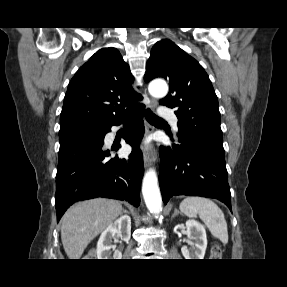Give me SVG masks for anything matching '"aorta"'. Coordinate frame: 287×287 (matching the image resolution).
Wrapping results in <instances>:
<instances>
[{"label":"aorta","mask_w":287,"mask_h":287,"mask_svg":"<svg viewBox=\"0 0 287 287\" xmlns=\"http://www.w3.org/2000/svg\"><path fill=\"white\" fill-rule=\"evenodd\" d=\"M149 93L156 98H162L168 93V86L164 81H154L149 84ZM142 194L148 210L153 214L162 211V199L158 186V178L154 169H149L143 178Z\"/></svg>","instance_id":"1"}]
</instances>
